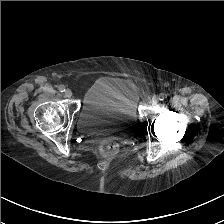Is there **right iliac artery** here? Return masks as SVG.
<instances>
[{"label": "right iliac artery", "mask_w": 224, "mask_h": 224, "mask_svg": "<svg viewBox=\"0 0 224 224\" xmlns=\"http://www.w3.org/2000/svg\"><path fill=\"white\" fill-rule=\"evenodd\" d=\"M58 89H59L60 92H65V90H66L64 85H60L58 87Z\"/></svg>", "instance_id": "right-iliac-artery-1"}]
</instances>
